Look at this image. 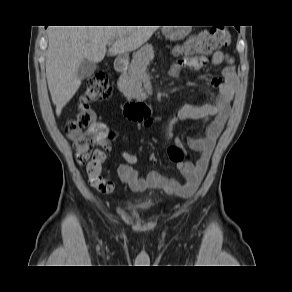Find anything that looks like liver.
I'll use <instances>...</instances> for the list:
<instances>
[{"instance_id": "1", "label": "liver", "mask_w": 292, "mask_h": 292, "mask_svg": "<svg viewBox=\"0 0 292 292\" xmlns=\"http://www.w3.org/2000/svg\"><path fill=\"white\" fill-rule=\"evenodd\" d=\"M156 30V26H51L46 77L57 116L81 85L77 69L82 61H102L109 42H114L109 55H127L146 43Z\"/></svg>"}]
</instances>
